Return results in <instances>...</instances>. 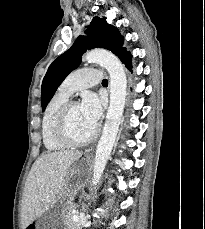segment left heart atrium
Wrapping results in <instances>:
<instances>
[{
	"mask_svg": "<svg viewBox=\"0 0 205 229\" xmlns=\"http://www.w3.org/2000/svg\"><path fill=\"white\" fill-rule=\"evenodd\" d=\"M85 117L94 125L97 124L103 109V100L97 94L89 92L83 96L80 104Z\"/></svg>",
	"mask_w": 205,
	"mask_h": 229,
	"instance_id": "39dd6f15",
	"label": "left heart atrium"
}]
</instances>
